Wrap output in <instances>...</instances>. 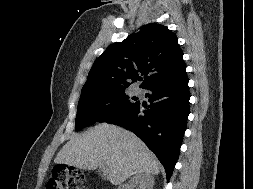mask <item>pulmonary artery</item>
Listing matches in <instances>:
<instances>
[{"label": "pulmonary artery", "instance_id": "e3ab8cb5", "mask_svg": "<svg viewBox=\"0 0 253 189\" xmlns=\"http://www.w3.org/2000/svg\"><path fill=\"white\" fill-rule=\"evenodd\" d=\"M135 94H136V95L141 94V90L137 89V90L135 91Z\"/></svg>", "mask_w": 253, "mask_h": 189}]
</instances>
